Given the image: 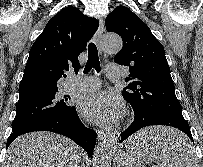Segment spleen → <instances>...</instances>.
Returning a JSON list of instances; mask_svg holds the SVG:
<instances>
[{
	"instance_id": "obj_1",
	"label": "spleen",
	"mask_w": 203,
	"mask_h": 167,
	"mask_svg": "<svg viewBox=\"0 0 203 167\" xmlns=\"http://www.w3.org/2000/svg\"><path fill=\"white\" fill-rule=\"evenodd\" d=\"M154 139L158 141L156 148L135 149L138 159L155 162L156 165L152 167H196V158L191 145L186 144L187 148H182L185 136L170 139L167 135L161 134Z\"/></svg>"
}]
</instances>
